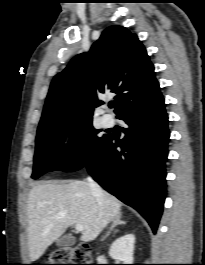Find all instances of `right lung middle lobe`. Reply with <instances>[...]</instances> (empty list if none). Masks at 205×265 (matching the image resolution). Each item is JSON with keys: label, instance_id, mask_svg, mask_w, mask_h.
<instances>
[{"label": "right lung middle lobe", "instance_id": "obj_1", "mask_svg": "<svg viewBox=\"0 0 205 265\" xmlns=\"http://www.w3.org/2000/svg\"><path fill=\"white\" fill-rule=\"evenodd\" d=\"M66 130L72 133L68 152L63 147ZM100 130L92 126V120L69 121L37 131L36 151L32 178L37 179L46 172L62 170L74 172L88 164L104 145L108 134L98 136Z\"/></svg>", "mask_w": 205, "mask_h": 265}]
</instances>
